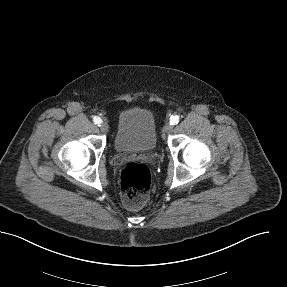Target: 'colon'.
<instances>
[{
	"instance_id": "obj_1",
	"label": "colon",
	"mask_w": 287,
	"mask_h": 287,
	"mask_svg": "<svg viewBox=\"0 0 287 287\" xmlns=\"http://www.w3.org/2000/svg\"><path fill=\"white\" fill-rule=\"evenodd\" d=\"M121 192L124 205L139 209L147 201L151 189V172L142 163H128L121 172Z\"/></svg>"
}]
</instances>
